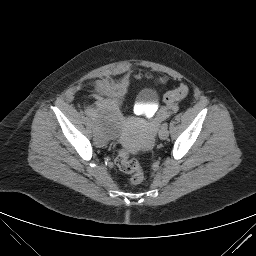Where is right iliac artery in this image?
Here are the masks:
<instances>
[{"label":"right iliac artery","instance_id":"right-iliac-artery-1","mask_svg":"<svg viewBox=\"0 0 256 256\" xmlns=\"http://www.w3.org/2000/svg\"><path fill=\"white\" fill-rule=\"evenodd\" d=\"M86 114H87L88 116L93 115V111H92L91 109H87V110H86Z\"/></svg>","mask_w":256,"mask_h":256}]
</instances>
